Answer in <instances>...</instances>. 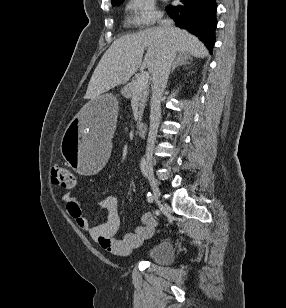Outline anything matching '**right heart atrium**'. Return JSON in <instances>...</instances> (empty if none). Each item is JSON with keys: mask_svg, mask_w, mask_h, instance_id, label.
<instances>
[{"mask_svg": "<svg viewBox=\"0 0 286 308\" xmlns=\"http://www.w3.org/2000/svg\"><path fill=\"white\" fill-rule=\"evenodd\" d=\"M126 11L130 21L141 28L153 25L160 17L155 0H127Z\"/></svg>", "mask_w": 286, "mask_h": 308, "instance_id": "obj_1", "label": "right heart atrium"}]
</instances>
